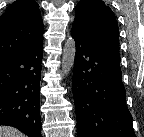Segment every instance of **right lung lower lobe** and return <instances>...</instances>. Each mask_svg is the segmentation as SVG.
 Returning <instances> with one entry per match:
<instances>
[{"label": "right lung lower lobe", "instance_id": "98d812e1", "mask_svg": "<svg viewBox=\"0 0 144 137\" xmlns=\"http://www.w3.org/2000/svg\"><path fill=\"white\" fill-rule=\"evenodd\" d=\"M42 41L0 61V125L13 126L29 137L41 136Z\"/></svg>", "mask_w": 144, "mask_h": 137}]
</instances>
